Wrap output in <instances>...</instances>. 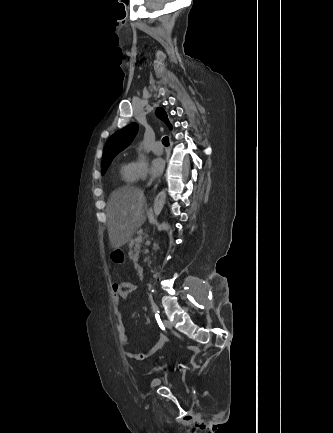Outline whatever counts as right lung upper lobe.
Wrapping results in <instances>:
<instances>
[{
	"instance_id": "cb5924a9",
	"label": "right lung upper lobe",
	"mask_w": 333,
	"mask_h": 433,
	"mask_svg": "<svg viewBox=\"0 0 333 433\" xmlns=\"http://www.w3.org/2000/svg\"><path fill=\"white\" fill-rule=\"evenodd\" d=\"M157 116L162 119L166 125L172 129V125L170 124L167 113L161 107L157 108ZM139 126L137 123H132L125 128L117 131L112 137L108 140L104 151H103V160L102 163L109 161L122 150L130 145L133 141L134 137L138 132Z\"/></svg>"
}]
</instances>
